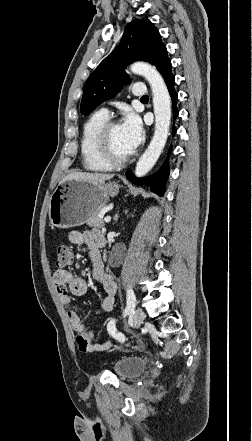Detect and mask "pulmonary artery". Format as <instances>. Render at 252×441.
<instances>
[{"label":"pulmonary artery","instance_id":"e3ab8cb5","mask_svg":"<svg viewBox=\"0 0 252 441\" xmlns=\"http://www.w3.org/2000/svg\"><path fill=\"white\" fill-rule=\"evenodd\" d=\"M132 93H133V95L136 96V97H142V96H145V95H146V93H147V89H146V87L144 86V84H142V83L135 84L134 87H133V89H132ZM100 112H101L102 114L106 115V116H109V115H110L109 110L106 109V108L101 109Z\"/></svg>","mask_w":252,"mask_h":441}]
</instances>
